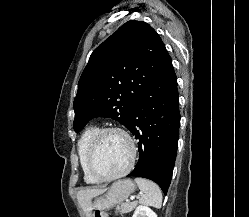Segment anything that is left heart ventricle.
I'll list each match as a JSON object with an SVG mask.
<instances>
[{"label": "left heart ventricle", "instance_id": "1", "mask_svg": "<svg viewBox=\"0 0 249 217\" xmlns=\"http://www.w3.org/2000/svg\"><path fill=\"white\" fill-rule=\"evenodd\" d=\"M130 146L126 138L119 133L105 135L97 147L93 165L104 176L123 170L130 160Z\"/></svg>", "mask_w": 249, "mask_h": 217}]
</instances>
